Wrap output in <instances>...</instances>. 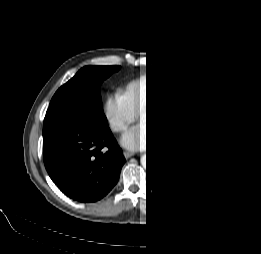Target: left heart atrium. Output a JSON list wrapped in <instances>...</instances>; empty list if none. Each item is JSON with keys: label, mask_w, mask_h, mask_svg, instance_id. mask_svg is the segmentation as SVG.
I'll return each mask as SVG.
<instances>
[{"label": "left heart atrium", "mask_w": 261, "mask_h": 254, "mask_svg": "<svg viewBox=\"0 0 261 254\" xmlns=\"http://www.w3.org/2000/svg\"><path fill=\"white\" fill-rule=\"evenodd\" d=\"M123 144L127 147L141 148L152 145V134L147 130L146 126H138L127 131L122 138Z\"/></svg>", "instance_id": "left-heart-atrium-1"}]
</instances>
